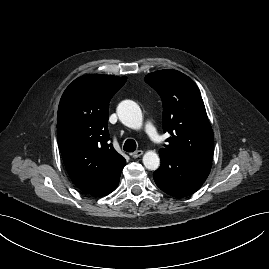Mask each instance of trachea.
I'll list each match as a JSON object with an SVG mask.
<instances>
[{
    "mask_svg": "<svg viewBox=\"0 0 269 269\" xmlns=\"http://www.w3.org/2000/svg\"><path fill=\"white\" fill-rule=\"evenodd\" d=\"M137 148L136 142L133 139H127L123 145V150L126 152H133Z\"/></svg>",
    "mask_w": 269,
    "mask_h": 269,
    "instance_id": "3493384b",
    "label": "trachea"
}]
</instances>
